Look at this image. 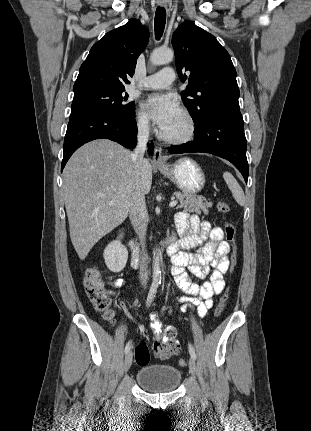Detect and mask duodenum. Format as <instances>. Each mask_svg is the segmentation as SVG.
<instances>
[{"instance_id": "duodenum-1", "label": "duodenum", "mask_w": 311, "mask_h": 431, "mask_svg": "<svg viewBox=\"0 0 311 431\" xmlns=\"http://www.w3.org/2000/svg\"><path fill=\"white\" fill-rule=\"evenodd\" d=\"M122 233H119L118 235V240L122 241ZM175 234H171L164 242H163V248L165 249L167 255H171L174 251V244H175ZM127 247L129 248L130 252H131V257H132V262L137 265L141 259H142V254L140 249L133 243H128Z\"/></svg>"}]
</instances>
